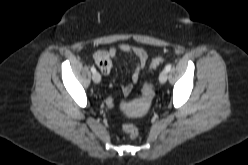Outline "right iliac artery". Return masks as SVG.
I'll list each match as a JSON object with an SVG mask.
<instances>
[{"mask_svg":"<svg viewBox=\"0 0 248 165\" xmlns=\"http://www.w3.org/2000/svg\"><path fill=\"white\" fill-rule=\"evenodd\" d=\"M91 71H92V73H95L96 72V69H95L94 66L91 67Z\"/></svg>","mask_w":248,"mask_h":165,"instance_id":"82829eb1","label":"right iliac artery"}]
</instances>
